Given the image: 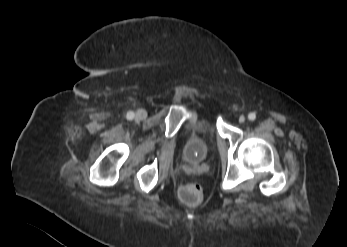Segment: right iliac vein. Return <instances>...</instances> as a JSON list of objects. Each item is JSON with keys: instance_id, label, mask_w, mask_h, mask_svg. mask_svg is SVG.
I'll return each mask as SVG.
<instances>
[{"instance_id": "obj_1", "label": "right iliac vein", "mask_w": 347, "mask_h": 247, "mask_svg": "<svg viewBox=\"0 0 347 247\" xmlns=\"http://www.w3.org/2000/svg\"><path fill=\"white\" fill-rule=\"evenodd\" d=\"M147 117V112L144 109H139L137 110L136 114H135V119L136 120H143Z\"/></svg>"}]
</instances>
